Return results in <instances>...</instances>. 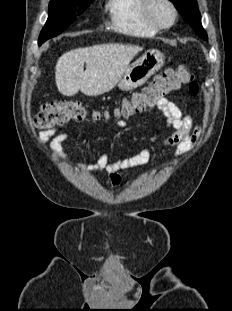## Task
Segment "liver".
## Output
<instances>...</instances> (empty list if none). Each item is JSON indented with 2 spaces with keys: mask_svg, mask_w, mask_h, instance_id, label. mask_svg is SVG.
Here are the masks:
<instances>
[{
  "mask_svg": "<svg viewBox=\"0 0 232 311\" xmlns=\"http://www.w3.org/2000/svg\"><path fill=\"white\" fill-rule=\"evenodd\" d=\"M142 49L135 45L102 44L68 51L57 60L56 86L65 96H73L79 90L87 96L109 92Z\"/></svg>",
  "mask_w": 232,
  "mask_h": 311,
  "instance_id": "liver-1",
  "label": "liver"
}]
</instances>
